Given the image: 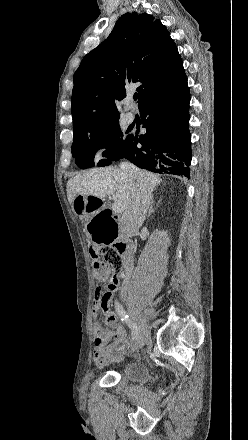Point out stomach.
Listing matches in <instances>:
<instances>
[{
  "mask_svg": "<svg viewBox=\"0 0 248 440\" xmlns=\"http://www.w3.org/2000/svg\"><path fill=\"white\" fill-rule=\"evenodd\" d=\"M94 196L77 195L72 208L76 218H87L86 232H89L91 246H112L119 240L120 224L114 218V209H100L102 201Z\"/></svg>",
  "mask_w": 248,
  "mask_h": 440,
  "instance_id": "0dacf381",
  "label": "stomach"
}]
</instances>
